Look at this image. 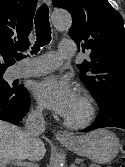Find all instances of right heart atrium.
Returning <instances> with one entry per match:
<instances>
[{"label":"right heart atrium","mask_w":125,"mask_h":167,"mask_svg":"<svg viewBox=\"0 0 125 167\" xmlns=\"http://www.w3.org/2000/svg\"><path fill=\"white\" fill-rule=\"evenodd\" d=\"M33 114L36 117H41L43 115V109L40 106H37L34 110H33Z\"/></svg>","instance_id":"d8ad5b80"}]
</instances>
